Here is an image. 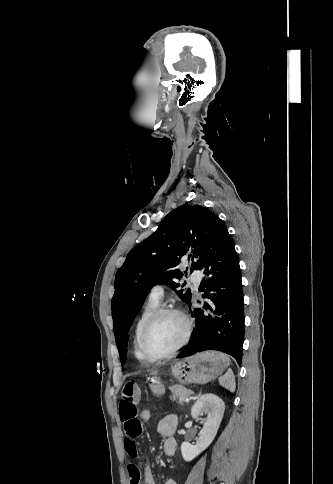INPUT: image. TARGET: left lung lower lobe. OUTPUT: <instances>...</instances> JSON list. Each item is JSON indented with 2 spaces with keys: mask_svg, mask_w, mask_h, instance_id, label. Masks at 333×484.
Masks as SVG:
<instances>
[{
  "mask_svg": "<svg viewBox=\"0 0 333 484\" xmlns=\"http://www.w3.org/2000/svg\"><path fill=\"white\" fill-rule=\"evenodd\" d=\"M194 270L208 276L199 288L207 302L203 309L192 310L196 325L177 358L219 350L241 365L245 326L240 267L232 237L218 217L211 223Z\"/></svg>",
  "mask_w": 333,
  "mask_h": 484,
  "instance_id": "1",
  "label": "left lung lower lobe"
}]
</instances>
